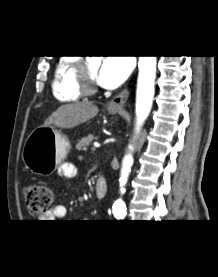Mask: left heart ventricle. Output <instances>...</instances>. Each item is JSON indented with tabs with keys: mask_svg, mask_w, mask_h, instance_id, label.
Segmentation results:
<instances>
[{
	"mask_svg": "<svg viewBox=\"0 0 218 277\" xmlns=\"http://www.w3.org/2000/svg\"><path fill=\"white\" fill-rule=\"evenodd\" d=\"M88 72L90 74V76L95 79L96 74H97V70L99 68V64L97 62H87L86 63Z\"/></svg>",
	"mask_w": 218,
	"mask_h": 277,
	"instance_id": "b2bd125f",
	"label": "left heart ventricle"
}]
</instances>
